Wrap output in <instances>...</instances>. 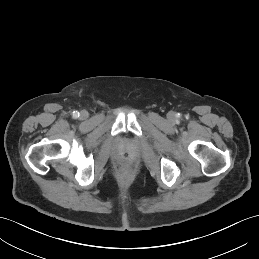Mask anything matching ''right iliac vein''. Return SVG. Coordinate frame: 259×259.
<instances>
[{"instance_id": "right-iliac-vein-1", "label": "right iliac vein", "mask_w": 259, "mask_h": 259, "mask_svg": "<svg viewBox=\"0 0 259 259\" xmlns=\"http://www.w3.org/2000/svg\"><path fill=\"white\" fill-rule=\"evenodd\" d=\"M87 116H88V113L86 111H81L80 118L85 119L87 118Z\"/></svg>"}]
</instances>
